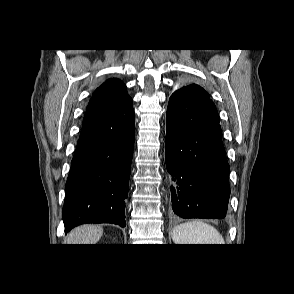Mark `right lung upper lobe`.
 Returning a JSON list of instances; mask_svg holds the SVG:
<instances>
[{
	"mask_svg": "<svg viewBox=\"0 0 294 294\" xmlns=\"http://www.w3.org/2000/svg\"><path fill=\"white\" fill-rule=\"evenodd\" d=\"M130 98L125 84L118 79H109L96 89L87 106L88 111L115 107Z\"/></svg>",
	"mask_w": 294,
	"mask_h": 294,
	"instance_id": "cb5924a9",
	"label": "right lung upper lobe"
}]
</instances>
